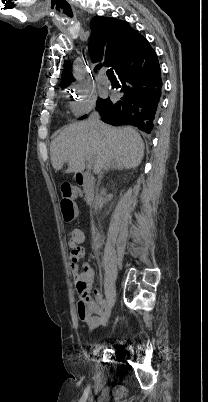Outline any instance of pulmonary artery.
<instances>
[{
  "label": "pulmonary artery",
  "instance_id": "1",
  "mask_svg": "<svg viewBox=\"0 0 208 402\" xmlns=\"http://www.w3.org/2000/svg\"><path fill=\"white\" fill-rule=\"evenodd\" d=\"M97 73L99 76H106L108 73V70L106 67H99L97 70Z\"/></svg>",
  "mask_w": 208,
  "mask_h": 402
}]
</instances>
